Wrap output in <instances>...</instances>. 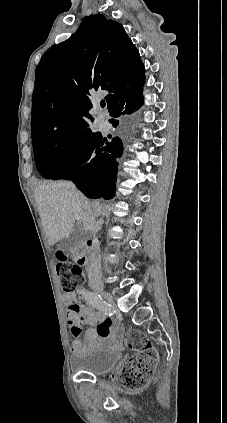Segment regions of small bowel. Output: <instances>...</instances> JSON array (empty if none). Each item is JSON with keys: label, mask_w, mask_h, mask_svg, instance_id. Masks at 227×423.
Listing matches in <instances>:
<instances>
[{"label": "small bowel", "mask_w": 227, "mask_h": 423, "mask_svg": "<svg viewBox=\"0 0 227 423\" xmlns=\"http://www.w3.org/2000/svg\"><path fill=\"white\" fill-rule=\"evenodd\" d=\"M81 292L83 294L84 290ZM63 299L68 307L66 320L70 326L71 334L75 338L70 346L72 353L76 354L84 349L79 340L82 332V323L88 325L85 332V340L88 347L97 346L110 338L114 321L106 316L104 312L102 313L101 310L93 306L89 307L79 304L74 293H66Z\"/></svg>", "instance_id": "obj_1"}]
</instances>
